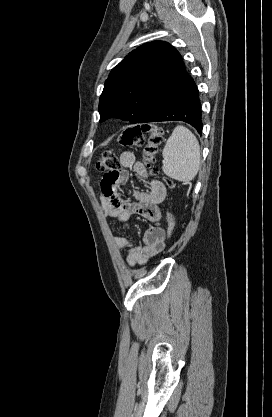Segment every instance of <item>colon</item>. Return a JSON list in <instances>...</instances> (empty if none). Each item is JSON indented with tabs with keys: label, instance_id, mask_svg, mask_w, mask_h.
Here are the masks:
<instances>
[{
	"label": "colon",
	"instance_id": "1",
	"mask_svg": "<svg viewBox=\"0 0 272 417\" xmlns=\"http://www.w3.org/2000/svg\"><path fill=\"white\" fill-rule=\"evenodd\" d=\"M147 143L143 149V163L149 170L150 176L156 177L158 172L154 167L158 148L163 141V130L156 124H144L134 126L123 130L119 135V143L123 147L138 148L145 142ZM97 170L106 174H115L120 170V159L113 151H106L101 154L97 162ZM176 227V218L170 213L167 219L165 229L166 237H170Z\"/></svg>",
	"mask_w": 272,
	"mask_h": 417
}]
</instances>
